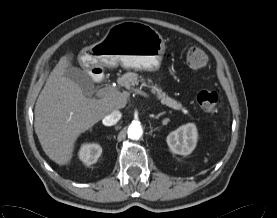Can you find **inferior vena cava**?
<instances>
[{
    "mask_svg": "<svg viewBox=\"0 0 277 218\" xmlns=\"http://www.w3.org/2000/svg\"><path fill=\"white\" fill-rule=\"evenodd\" d=\"M121 116L122 114L119 110H114L103 118L102 123L105 126L115 125L121 119Z\"/></svg>",
    "mask_w": 277,
    "mask_h": 218,
    "instance_id": "1",
    "label": "inferior vena cava"
}]
</instances>
